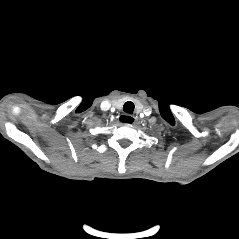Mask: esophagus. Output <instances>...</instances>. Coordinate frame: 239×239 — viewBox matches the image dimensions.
<instances>
[{"instance_id":"esophagus-1","label":"esophagus","mask_w":239,"mask_h":239,"mask_svg":"<svg viewBox=\"0 0 239 239\" xmlns=\"http://www.w3.org/2000/svg\"><path fill=\"white\" fill-rule=\"evenodd\" d=\"M120 121L134 124L137 121V117L125 114L120 117Z\"/></svg>"}]
</instances>
